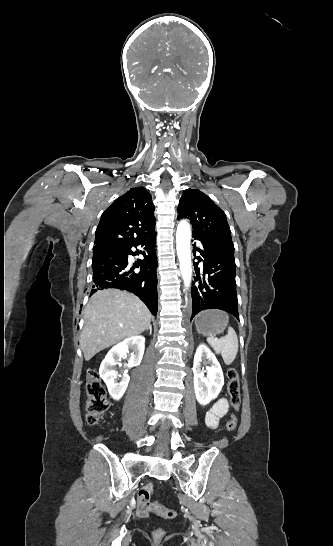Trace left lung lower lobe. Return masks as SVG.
<instances>
[{"instance_id": "left-lung-lower-lobe-1", "label": "left lung lower lobe", "mask_w": 333, "mask_h": 546, "mask_svg": "<svg viewBox=\"0 0 333 546\" xmlns=\"http://www.w3.org/2000/svg\"><path fill=\"white\" fill-rule=\"evenodd\" d=\"M193 240L199 241L201 248L194 245L201 256L195 257L198 262L203 261V276L201 280L198 263L193 262L196 270V278L192 282V315L191 319L200 311L206 309L224 310L239 320L238 300L235 282V259L234 252L227 245L205 237L200 233H192ZM220 262L227 263V270H217ZM208 274V277H205Z\"/></svg>"}]
</instances>
